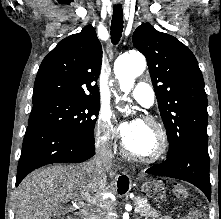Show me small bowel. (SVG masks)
Returning a JSON list of instances; mask_svg holds the SVG:
<instances>
[{
  "mask_svg": "<svg viewBox=\"0 0 221 219\" xmlns=\"http://www.w3.org/2000/svg\"><path fill=\"white\" fill-rule=\"evenodd\" d=\"M160 219H170V218H168V217H163V218H160Z\"/></svg>",
  "mask_w": 221,
  "mask_h": 219,
  "instance_id": "c3829d8e",
  "label": "small bowel"
}]
</instances>
